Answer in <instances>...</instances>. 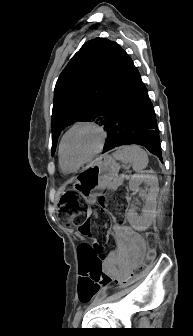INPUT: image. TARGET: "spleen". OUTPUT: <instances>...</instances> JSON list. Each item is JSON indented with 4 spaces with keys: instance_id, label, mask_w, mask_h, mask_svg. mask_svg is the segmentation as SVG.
<instances>
[{
    "instance_id": "3e777b00",
    "label": "spleen",
    "mask_w": 193,
    "mask_h": 336,
    "mask_svg": "<svg viewBox=\"0 0 193 336\" xmlns=\"http://www.w3.org/2000/svg\"><path fill=\"white\" fill-rule=\"evenodd\" d=\"M116 160L129 164L136 172L142 171L148 164L147 153L139 146H123L113 153Z\"/></svg>"
}]
</instances>
